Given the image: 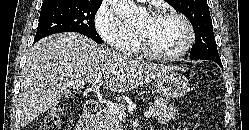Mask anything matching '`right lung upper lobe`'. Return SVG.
I'll use <instances>...</instances> for the list:
<instances>
[{
    "mask_svg": "<svg viewBox=\"0 0 249 130\" xmlns=\"http://www.w3.org/2000/svg\"><path fill=\"white\" fill-rule=\"evenodd\" d=\"M56 1H60V0H44L43 3H42V5L53 3V2H56ZM82 1L102 2V0H82Z\"/></svg>",
    "mask_w": 249,
    "mask_h": 130,
    "instance_id": "1",
    "label": "right lung upper lobe"
}]
</instances>
